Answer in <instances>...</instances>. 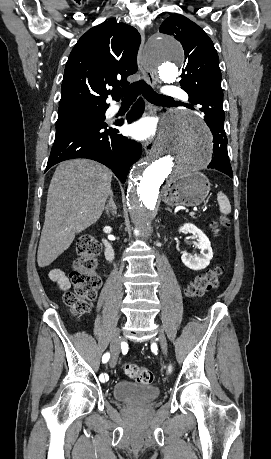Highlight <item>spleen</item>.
I'll return each mask as SVG.
<instances>
[{"mask_svg": "<svg viewBox=\"0 0 271 459\" xmlns=\"http://www.w3.org/2000/svg\"><path fill=\"white\" fill-rule=\"evenodd\" d=\"M217 202L219 204L220 212H222V214H230L231 212L230 202L227 196L223 194V192H218Z\"/></svg>", "mask_w": 271, "mask_h": 459, "instance_id": "obj_1", "label": "spleen"}]
</instances>
